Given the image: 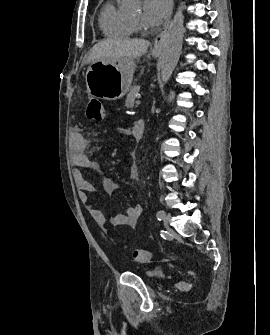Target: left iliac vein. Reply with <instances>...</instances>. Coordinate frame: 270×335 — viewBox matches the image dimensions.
Returning a JSON list of instances; mask_svg holds the SVG:
<instances>
[{
  "instance_id": "left-iliac-vein-1",
  "label": "left iliac vein",
  "mask_w": 270,
  "mask_h": 335,
  "mask_svg": "<svg viewBox=\"0 0 270 335\" xmlns=\"http://www.w3.org/2000/svg\"><path fill=\"white\" fill-rule=\"evenodd\" d=\"M162 219H163L164 224L167 226L168 223L170 222L171 215L167 213V214H165V215L163 216Z\"/></svg>"
}]
</instances>
